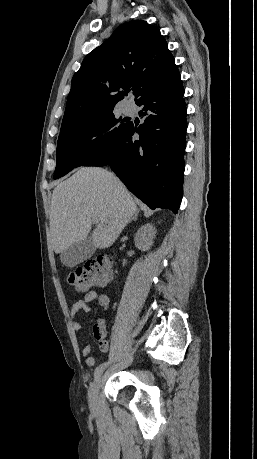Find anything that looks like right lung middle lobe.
<instances>
[{"label":"right lung middle lobe","mask_w":257,"mask_h":459,"mask_svg":"<svg viewBox=\"0 0 257 459\" xmlns=\"http://www.w3.org/2000/svg\"><path fill=\"white\" fill-rule=\"evenodd\" d=\"M128 122L115 118L113 109L78 122L60 132L54 179L96 158L115 143Z\"/></svg>","instance_id":"1"}]
</instances>
